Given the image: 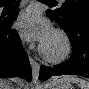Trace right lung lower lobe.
<instances>
[{
	"label": "right lung lower lobe",
	"instance_id": "98d812e1",
	"mask_svg": "<svg viewBox=\"0 0 89 89\" xmlns=\"http://www.w3.org/2000/svg\"><path fill=\"white\" fill-rule=\"evenodd\" d=\"M4 2L5 0H0V6H3ZM18 3L19 0L9 16L0 21V77L19 76L31 81V66L28 56L23 50L18 33L10 28L19 11Z\"/></svg>",
	"mask_w": 89,
	"mask_h": 89
}]
</instances>
